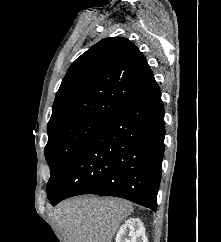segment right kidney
I'll return each instance as SVG.
<instances>
[{
  "instance_id": "1",
  "label": "right kidney",
  "mask_w": 221,
  "mask_h": 242,
  "mask_svg": "<svg viewBox=\"0 0 221 242\" xmlns=\"http://www.w3.org/2000/svg\"><path fill=\"white\" fill-rule=\"evenodd\" d=\"M116 242H148L145 228L140 219L130 218L120 227L116 234Z\"/></svg>"
}]
</instances>
